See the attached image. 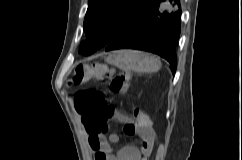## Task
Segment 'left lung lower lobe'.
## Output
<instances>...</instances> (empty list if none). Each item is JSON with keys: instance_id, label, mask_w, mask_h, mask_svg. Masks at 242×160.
Masks as SVG:
<instances>
[{"instance_id": "0a47b994", "label": "left lung lower lobe", "mask_w": 242, "mask_h": 160, "mask_svg": "<svg viewBox=\"0 0 242 160\" xmlns=\"http://www.w3.org/2000/svg\"><path fill=\"white\" fill-rule=\"evenodd\" d=\"M180 0H151L136 20L110 41L106 51L130 48L165 58L175 73L180 36Z\"/></svg>"}]
</instances>
